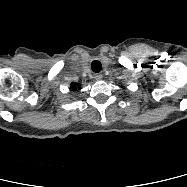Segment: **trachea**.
<instances>
[{
	"label": "trachea",
	"mask_w": 187,
	"mask_h": 187,
	"mask_svg": "<svg viewBox=\"0 0 187 187\" xmlns=\"http://www.w3.org/2000/svg\"><path fill=\"white\" fill-rule=\"evenodd\" d=\"M91 68L94 72H100L102 69V65L99 61L95 60L92 62Z\"/></svg>",
	"instance_id": "1"
}]
</instances>
